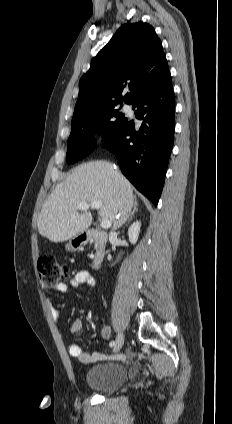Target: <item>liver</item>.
<instances>
[{"label": "liver", "mask_w": 232, "mask_h": 424, "mask_svg": "<svg viewBox=\"0 0 232 424\" xmlns=\"http://www.w3.org/2000/svg\"><path fill=\"white\" fill-rule=\"evenodd\" d=\"M130 195V182L111 163H84L57 184L45 201L37 221L38 231L55 243L70 240L92 223L90 212H78L80 203L102 202L98 214L114 221Z\"/></svg>", "instance_id": "liver-1"}]
</instances>
